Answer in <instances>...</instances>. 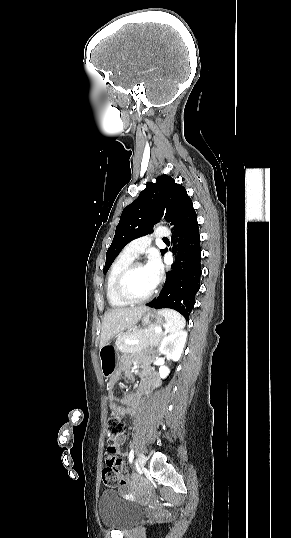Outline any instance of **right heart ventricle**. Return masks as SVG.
Returning <instances> with one entry per match:
<instances>
[{
  "label": "right heart ventricle",
  "mask_w": 291,
  "mask_h": 538,
  "mask_svg": "<svg viewBox=\"0 0 291 538\" xmlns=\"http://www.w3.org/2000/svg\"><path fill=\"white\" fill-rule=\"evenodd\" d=\"M135 258L130 256L124 250L113 261L106 280V295L109 304L112 307H123L128 305L127 302L121 300L116 293V280L120 273L133 262Z\"/></svg>",
  "instance_id": "right-heart-ventricle-1"
}]
</instances>
